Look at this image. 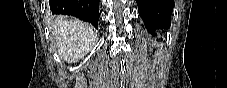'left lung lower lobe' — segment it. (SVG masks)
<instances>
[{
	"label": "left lung lower lobe",
	"mask_w": 227,
	"mask_h": 88,
	"mask_svg": "<svg viewBox=\"0 0 227 88\" xmlns=\"http://www.w3.org/2000/svg\"><path fill=\"white\" fill-rule=\"evenodd\" d=\"M139 15L148 31L155 35L156 29H168L174 0H136Z\"/></svg>",
	"instance_id": "left-lung-lower-lobe-1"
}]
</instances>
